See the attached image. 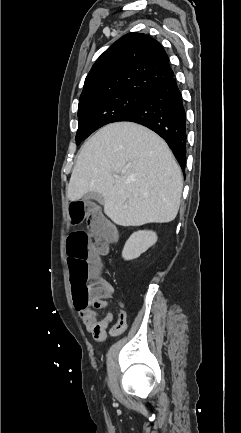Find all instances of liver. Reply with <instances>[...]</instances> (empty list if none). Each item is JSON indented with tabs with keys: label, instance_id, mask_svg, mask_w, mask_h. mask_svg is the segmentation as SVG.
<instances>
[{
	"label": "liver",
	"instance_id": "6515ba94",
	"mask_svg": "<svg viewBox=\"0 0 241 433\" xmlns=\"http://www.w3.org/2000/svg\"><path fill=\"white\" fill-rule=\"evenodd\" d=\"M183 177L165 141L148 128L111 123L80 149L67 187L74 202L88 192L104 198V213L117 225L167 223L177 216Z\"/></svg>",
	"mask_w": 241,
	"mask_h": 433
}]
</instances>
